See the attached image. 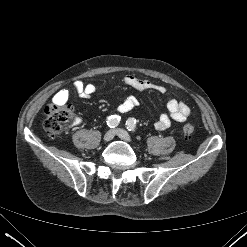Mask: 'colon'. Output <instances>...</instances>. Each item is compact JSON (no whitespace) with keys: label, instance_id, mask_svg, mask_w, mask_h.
Listing matches in <instances>:
<instances>
[{"label":"colon","instance_id":"1","mask_svg":"<svg viewBox=\"0 0 247 247\" xmlns=\"http://www.w3.org/2000/svg\"><path fill=\"white\" fill-rule=\"evenodd\" d=\"M75 110L71 104L55 103L48 104L45 108L44 129L51 137H56L67 128L73 118ZM183 134L188 137L193 134L194 126L187 123L182 128Z\"/></svg>","mask_w":247,"mask_h":247}]
</instances>
